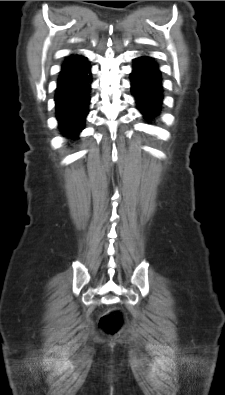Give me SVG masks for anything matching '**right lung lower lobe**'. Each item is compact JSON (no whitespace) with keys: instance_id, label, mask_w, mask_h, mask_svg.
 Masks as SVG:
<instances>
[{"instance_id":"1","label":"right lung lower lobe","mask_w":225,"mask_h":395,"mask_svg":"<svg viewBox=\"0 0 225 395\" xmlns=\"http://www.w3.org/2000/svg\"><path fill=\"white\" fill-rule=\"evenodd\" d=\"M89 62L61 69L55 94L56 118L64 136L75 139L84 129L91 92Z\"/></svg>"}]
</instances>
